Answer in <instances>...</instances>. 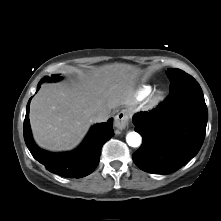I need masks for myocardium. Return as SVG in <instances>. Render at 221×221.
<instances>
[{"instance_id": "obj_1", "label": "myocardium", "mask_w": 221, "mask_h": 221, "mask_svg": "<svg viewBox=\"0 0 221 221\" xmlns=\"http://www.w3.org/2000/svg\"><path fill=\"white\" fill-rule=\"evenodd\" d=\"M163 99V93L157 92L154 97L152 98V104H157Z\"/></svg>"}]
</instances>
